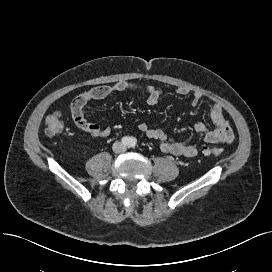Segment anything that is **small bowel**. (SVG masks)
<instances>
[{
    "instance_id": "obj_1",
    "label": "small bowel",
    "mask_w": 272,
    "mask_h": 272,
    "mask_svg": "<svg viewBox=\"0 0 272 272\" xmlns=\"http://www.w3.org/2000/svg\"><path fill=\"white\" fill-rule=\"evenodd\" d=\"M127 91H142L147 94V103L155 106L162 97V90L151 85H139L131 81L122 80L112 85H102L94 87L76 97L71 103V114L75 125L94 138L108 137L112 133L110 126H103L96 122H90L85 118L84 107L91 101L101 100L113 94ZM177 93L180 96H191L193 105H198L206 100L209 116L215 125V128L208 127L199 122L195 125V132L199 134L206 143L210 144H230L234 141L235 135L230 122L223 114L222 105L214 99L205 98L201 93L192 92L187 87H179ZM137 129L144 133L148 138L155 140L159 144L162 152L183 156L194 157L197 155L195 146L180 141H176L167 136V134L159 129L149 126L146 123H139Z\"/></svg>"
}]
</instances>
